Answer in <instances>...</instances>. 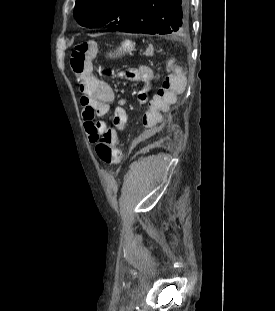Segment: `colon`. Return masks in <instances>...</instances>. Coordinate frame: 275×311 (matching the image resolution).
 Returning <instances> with one entry per match:
<instances>
[{
  "mask_svg": "<svg viewBox=\"0 0 275 311\" xmlns=\"http://www.w3.org/2000/svg\"><path fill=\"white\" fill-rule=\"evenodd\" d=\"M96 53L97 47L93 41H83L76 44L71 53L70 65L77 79L88 74L91 68V60L96 56ZM91 140L96 143V155L104 165H113L121 161L122 152L115 145L111 131L92 136Z\"/></svg>",
  "mask_w": 275,
  "mask_h": 311,
  "instance_id": "colon-1",
  "label": "colon"
}]
</instances>
